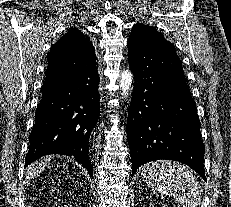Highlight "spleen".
Masks as SVG:
<instances>
[{"label":"spleen","instance_id":"spleen-1","mask_svg":"<svg viewBox=\"0 0 231 207\" xmlns=\"http://www.w3.org/2000/svg\"><path fill=\"white\" fill-rule=\"evenodd\" d=\"M142 180L154 192L170 195L183 207H197L201 186L188 168L171 161H156L140 169Z\"/></svg>","mask_w":231,"mask_h":207}]
</instances>
